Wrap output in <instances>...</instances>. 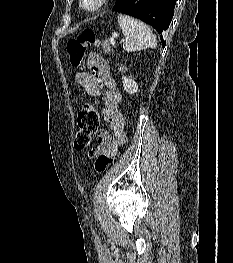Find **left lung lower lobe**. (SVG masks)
Returning <instances> with one entry per match:
<instances>
[{
	"mask_svg": "<svg viewBox=\"0 0 233 263\" xmlns=\"http://www.w3.org/2000/svg\"><path fill=\"white\" fill-rule=\"evenodd\" d=\"M175 4L176 0H117L113 11L138 18L161 34L169 27ZM161 40L165 46L162 36Z\"/></svg>",
	"mask_w": 233,
	"mask_h": 263,
	"instance_id": "left-lung-lower-lobe-1",
	"label": "left lung lower lobe"
}]
</instances>
